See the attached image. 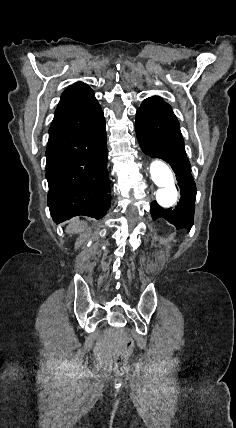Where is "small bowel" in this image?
I'll return each mask as SVG.
<instances>
[{"label":"small bowel","instance_id":"obj_1","mask_svg":"<svg viewBox=\"0 0 236 428\" xmlns=\"http://www.w3.org/2000/svg\"><path fill=\"white\" fill-rule=\"evenodd\" d=\"M123 337V331L119 327H110L97 341L95 346L96 355L108 360L119 348Z\"/></svg>","mask_w":236,"mask_h":428}]
</instances>
